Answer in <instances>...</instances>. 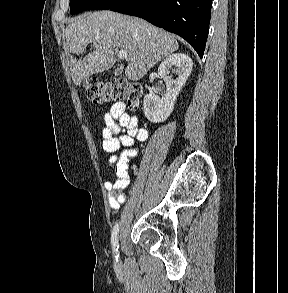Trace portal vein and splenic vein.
<instances>
[{
	"label": "portal vein and splenic vein",
	"instance_id": "obj_1",
	"mask_svg": "<svg viewBox=\"0 0 288 293\" xmlns=\"http://www.w3.org/2000/svg\"><path fill=\"white\" fill-rule=\"evenodd\" d=\"M94 44L97 45V43H94ZM115 51H116L119 59H123V60L127 59V57H128L127 51H125V50L119 51L117 48L115 49Z\"/></svg>",
	"mask_w": 288,
	"mask_h": 293
}]
</instances>
